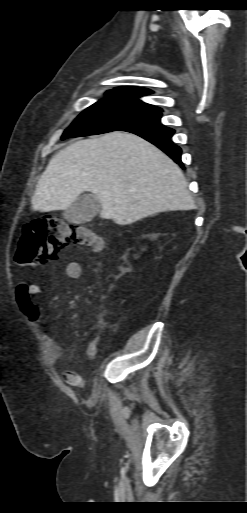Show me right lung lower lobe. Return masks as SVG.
I'll use <instances>...</instances> for the list:
<instances>
[{
    "label": "right lung lower lobe",
    "instance_id": "obj_1",
    "mask_svg": "<svg viewBox=\"0 0 247 513\" xmlns=\"http://www.w3.org/2000/svg\"><path fill=\"white\" fill-rule=\"evenodd\" d=\"M121 131L131 132L146 139L183 167L181 162V149L170 140L174 134V130L162 125L160 123V117L128 125L121 129Z\"/></svg>",
    "mask_w": 247,
    "mask_h": 513
}]
</instances>
